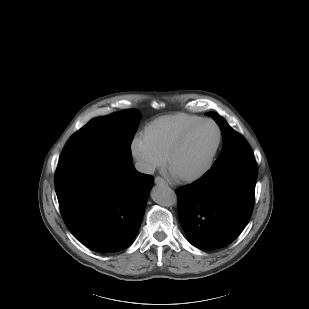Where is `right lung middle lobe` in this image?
I'll list each match as a JSON object with an SVG mask.
<instances>
[{
	"instance_id": "right-lung-middle-lobe-1",
	"label": "right lung middle lobe",
	"mask_w": 309,
	"mask_h": 309,
	"mask_svg": "<svg viewBox=\"0 0 309 309\" xmlns=\"http://www.w3.org/2000/svg\"><path fill=\"white\" fill-rule=\"evenodd\" d=\"M140 116L137 110H125L92 119L66 144L58 162L56 178L93 153L106 152L131 157V142Z\"/></svg>"
}]
</instances>
